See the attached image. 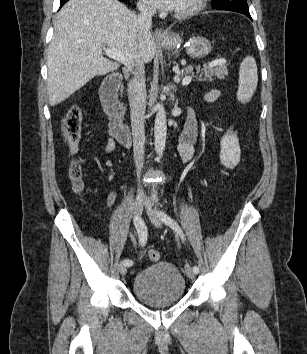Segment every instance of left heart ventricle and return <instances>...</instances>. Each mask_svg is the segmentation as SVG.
<instances>
[{"label": "left heart ventricle", "instance_id": "1", "mask_svg": "<svg viewBox=\"0 0 307 354\" xmlns=\"http://www.w3.org/2000/svg\"><path fill=\"white\" fill-rule=\"evenodd\" d=\"M191 1L192 0H180L176 11H180V10L185 9L191 3Z\"/></svg>", "mask_w": 307, "mask_h": 354}]
</instances>
